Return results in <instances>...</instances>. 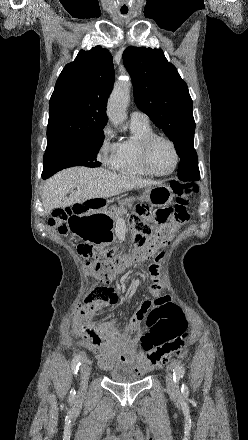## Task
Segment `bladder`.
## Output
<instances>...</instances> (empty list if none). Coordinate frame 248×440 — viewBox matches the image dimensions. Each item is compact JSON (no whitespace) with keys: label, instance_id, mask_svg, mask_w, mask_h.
Masks as SVG:
<instances>
[{"label":"bladder","instance_id":"1","mask_svg":"<svg viewBox=\"0 0 248 440\" xmlns=\"http://www.w3.org/2000/svg\"><path fill=\"white\" fill-rule=\"evenodd\" d=\"M145 372L135 371L127 366L120 365L112 368L108 373V378L115 383H134L142 380Z\"/></svg>","mask_w":248,"mask_h":440}]
</instances>
